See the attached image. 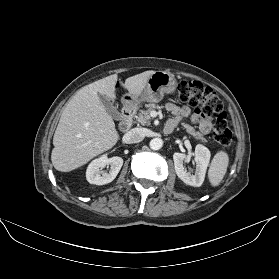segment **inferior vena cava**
I'll list each match as a JSON object with an SVG mask.
<instances>
[{
    "mask_svg": "<svg viewBox=\"0 0 279 279\" xmlns=\"http://www.w3.org/2000/svg\"><path fill=\"white\" fill-rule=\"evenodd\" d=\"M144 137V133L138 128L131 129L124 135L126 142L129 143L141 142L144 139Z\"/></svg>",
    "mask_w": 279,
    "mask_h": 279,
    "instance_id": "1",
    "label": "inferior vena cava"
}]
</instances>
